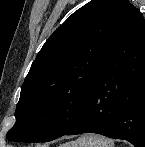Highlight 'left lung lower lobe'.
Returning a JSON list of instances; mask_svg holds the SVG:
<instances>
[{"instance_id":"1","label":"left lung lower lobe","mask_w":145,"mask_h":147,"mask_svg":"<svg viewBox=\"0 0 145 147\" xmlns=\"http://www.w3.org/2000/svg\"><path fill=\"white\" fill-rule=\"evenodd\" d=\"M82 133L145 147V21L133 5L80 117L61 136Z\"/></svg>"}]
</instances>
